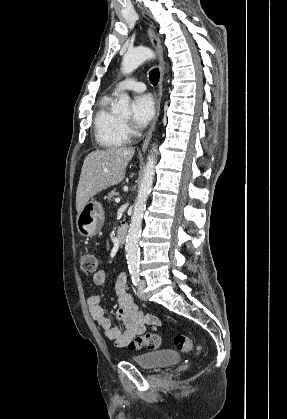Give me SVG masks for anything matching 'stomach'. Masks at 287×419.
I'll use <instances>...</instances> for the list:
<instances>
[{"label":"stomach","mask_w":287,"mask_h":419,"mask_svg":"<svg viewBox=\"0 0 287 419\" xmlns=\"http://www.w3.org/2000/svg\"><path fill=\"white\" fill-rule=\"evenodd\" d=\"M104 211L102 205L92 199L85 204L77 215V229L84 237L95 236L103 226Z\"/></svg>","instance_id":"stomach-1"}]
</instances>
